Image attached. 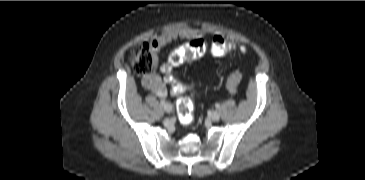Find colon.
<instances>
[{
    "mask_svg": "<svg viewBox=\"0 0 365 180\" xmlns=\"http://www.w3.org/2000/svg\"><path fill=\"white\" fill-rule=\"evenodd\" d=\"M235 46L224 37H216L211 45V51L215 56H223L234 49ZM206 51V44L201 38L193 39L177 50L170 56L171 64H179L184 61L195 60L202 57ZM244 51V48H241ZM157 53L149 43H136L131 47L130 60L136 73L143 77H148L156 70L157 67ZM166 73L169 80L174 85V92L179 95L177 102V113L179 120L185 124L190 125L194 122L193 103L190 98L183 96L188 89L187 86L175 83L172 76L169 74V67H166ZM241 79L239 73H234L228 82L229 89L234 91Z\"/></svg>",
    "mask_w": 365,
    "mask_h": 180,
    "instance_id": "1",
    "label": "colon"
}]
</instances>
